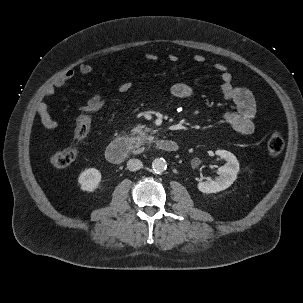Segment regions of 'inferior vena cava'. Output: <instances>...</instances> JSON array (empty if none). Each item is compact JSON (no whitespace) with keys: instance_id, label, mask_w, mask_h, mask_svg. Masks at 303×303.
<instances>
[{"instance_id":"obj_1","label":"inferior vena cava","mask_w":303,"mask_h":303,"mask_svg":"<svg viewBox=\"0 0 303 303\" xmlns=\"http://www.w3.org/2000/svg\"><path fill=\"white\" fill-rule=\"evenodd\" d=\"M143 167V164L138 159H130L127 162V169L130 171H137Z\"/></svg>"}]
</instances>
